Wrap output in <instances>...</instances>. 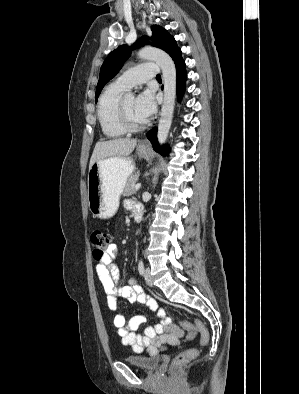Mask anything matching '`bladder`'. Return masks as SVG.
Masks as SVG:
<instances>
[{"mask_svg": "<svg viewBox=\"0 0 299 394\" xmlns=\"http://www.w3.org/2000/svg\"><path fill=\"white\" fill-rule=\"evenodd\" d=\"M125 362L144 371L155 370L161 362L159 356L129 355L125 357Z\"/></svg>", "mask_w": 299, "mask_h": 394, "instance_id": "obj_1", "label": "bladder"}]
</instances>
